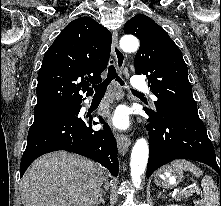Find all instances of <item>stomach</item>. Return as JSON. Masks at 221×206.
Here are the masks:
<instances>
[{
    "instance_id": "1",
    "label": "stomach",
    "mask_w": 221,
    "mask_h": 206,
    "mask_svg": "<svg viewBox=\"0 0 221 206\" xmlns=\"http://www.w3.org/2000/svg\"><path fill=\"white\" fill-rule=\"evenodd\" d=\"M183 178V171L172 165L161 168L154 177L156 185L163 188H173L180 183Z\"/></svg>"
}]
</instances>
